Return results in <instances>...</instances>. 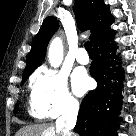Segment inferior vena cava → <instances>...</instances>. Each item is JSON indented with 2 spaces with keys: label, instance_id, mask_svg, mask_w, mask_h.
Returning <instances> with one entry per match:
<instances>
[{
  "label": "inferior vena cava",
  "instance_id": "602c4592",
  "mask_svg": "<svg viewBox=\"0 0 136 136\" xmlns=\"http://www.w3.org/2000/svg\"><path fill=\"white\" fill-rule=\"evenodd\" d=\"M78 110V103H69L62 116L56 120V131L61 133V136H71L70 130L75 127Z\"/></svg>",
  "mask_w": 136,
  "mask_h": 136
}]
</instances>
